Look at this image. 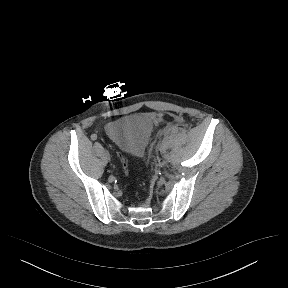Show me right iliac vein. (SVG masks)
<instances>
[{
  "label": "right iliac vein",
  "mask_w": 288,
  "mask_h": 288,
  "mask_svg": "<svg viewBox=\"0 0 288 288\" xmlns=\"http://www.w3.org/2000/svg\"><path fill=\"white\" fill-rule=\"evenodd\" d=\"M105 155H106V158L108 159V160H110V154H109V151H105Z\"/></svg>",
  "instance_id": "obj_1"
}]
</instances>
